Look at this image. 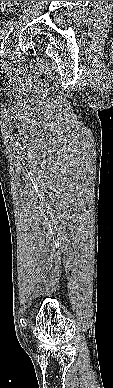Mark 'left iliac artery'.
I'll use <instances>...</instances> for the list:
<instances>
[{
	"label": "left iliac artery",
	"mask_w": 113,
	"mask_h": 388,
	"mask_svg": "<svg viewBox=\"0 0 113 388\" xmlns=\"http://www.w3.org/2000/svg\"><path fill=\"white\" fill-rule=\"evenodd\" d=\"M15 23H16V21L10 20L5 24V26L3 28L2 35H1V38L3 39L2 43H1V48H3L4 43L7 41L8 37L12 33Z\"/></svg>",
	"instance_id": "44dca946"
}]
</instances>
